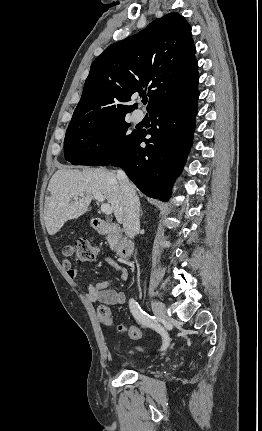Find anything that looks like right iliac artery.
I'll return each mask as SVG.
<instances>
[{
    "label": "right iliac artery",
    "instance_id": "1",
    "mask_svg": "<svg viewBox=\"0 0 262 431\" xmlns=\"http://www.w3.org/2000/svg\"><path fill=\"white\" fill-rule=\"evenodd\" d=\"M129 307H130L131 313L133 314L134 318L138 323H140L141 325L153 328L155 330H158V332L161 334L163 339V346L161 348V351L165 350L169 344V341L167 340V333L165 330L158 328L156 317L151 316L145 311H143L140 305L134 299H130Z\"/></svg>",
    "mask_w": 262,
    "mask_h": 431
}]
</instances>
